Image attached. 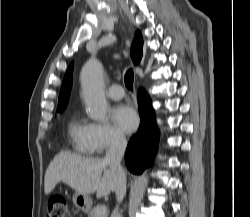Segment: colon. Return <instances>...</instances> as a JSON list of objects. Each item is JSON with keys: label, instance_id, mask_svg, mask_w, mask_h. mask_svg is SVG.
I'll return each instance as SVG.
<instances>
[{"label": "colon", "instance_id": "5ec220e1", "mask_svg": "<svg viewBox=\"0 0 250 217\" xmlns=\"http://www.w3.org/2000/svg\"><path fill=\"white\" fill-rule=\"evenodd\" d=\"M45 217H70L67 201L60 196L50 198Z\"/></svg>", "mask_w": 250, "mask_h": 217}]
</instances>
